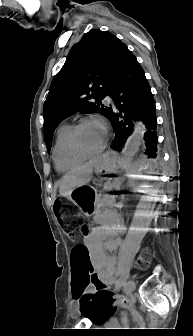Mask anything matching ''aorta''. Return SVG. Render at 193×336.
Wrapping results in <instances>:
<instances>
[{
    "label": "aorta",
    "instance_id": "aorta-1",
    "mask_svg": "<svg viewBox=\"0 0 193 336\" xmlns=\"http://www.w3.org/2000/svg\"><path fill=\"white\" fill-rule=\"evenodd\" d=\"M146 131L145 125L142 121L135 123L132 134L128 137L122 150V165H126L139 150L140 145L144 139Z\"/></svg>",
    "mask_w": 193,
    "mask_h": 336
}]
</instances>
